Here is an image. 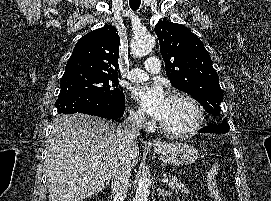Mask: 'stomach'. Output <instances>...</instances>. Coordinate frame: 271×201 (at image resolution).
I'll return each mask as SVG.
<instances>
[{
  "instance_id": "1",
  "label": "stomach",
  "mask_w": 271,
  "mask_h": 201,
  "mask_svg": "<svg viewBox=\"0 0 271 201\" xmlns=\"http://www.w3.org/2000/svg\"><path fill=\"white\" fill-rule=\"evenodd\" d=\"M153 148L164 162L173 166L192 164L199 158L196 148L181 142H163Z\"/></svg>"
}]
</instances>
